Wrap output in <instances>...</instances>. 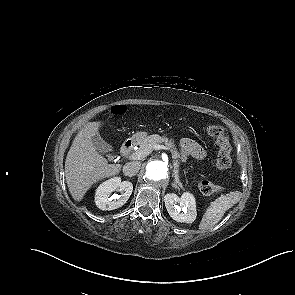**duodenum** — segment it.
I'll list each match as a JSON object with an SVG mask.
<instances>
[{"label": "duodenum", "mask_w": 295, "mask_h": 295, "mask_svg": "<svg viewBox=\"0 0 295 295\" xmlns=\"http://www.w3.org/2000/svg\"><path fill=\"white\" fill-rule=\"evenodd\" d=\"M135 146V141L133 139H128L124 142L121 147L120 153L122 156H127L133 150Z\"/></svg>", "instance_id": "duodenum-1"}]
</instances>
